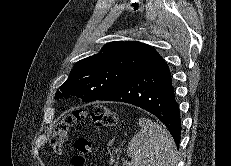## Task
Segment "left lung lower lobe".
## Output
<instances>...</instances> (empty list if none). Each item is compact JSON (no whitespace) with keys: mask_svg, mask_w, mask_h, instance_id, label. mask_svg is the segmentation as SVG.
<instances>
[{"mask_svg":"<svg viewBox=\"0 0 231 166\" xmlns=\"http://www.w3.org/2000/svg\"><path fill=\"white\" fill-rule=\"evenodd\" d=\"M97 100L125 102L145 109L165 124L179 146L180 112L168 65L161 56Z\"/></svg>","mask_w":231,"mask_h":166,"instance_id":"obj_1","label":"left lung lower lobe"}]
</instances>
